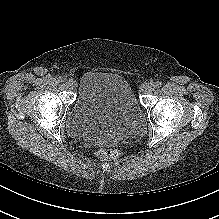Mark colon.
Returning <instances> with one entry per match:
<instances>
[{
	"label": "colon",
	"instance_id": "obj_1",
	"mask_svg": "<svg viewBox=\"0 0 219 219\" xmlns=\"http://www.w3.org/2000/svg\"><path fill=\"white\" fill-rule=\"evenodd\" d=\"M97 155L105 160H115L120 156V152L115 149H99Z\"/></svg>",
	"mask_w": 219,
	"mask_h": 219
}]
</instances>
